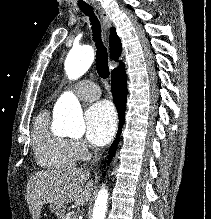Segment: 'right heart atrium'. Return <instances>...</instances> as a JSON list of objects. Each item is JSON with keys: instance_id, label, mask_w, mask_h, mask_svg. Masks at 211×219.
Segmentation results:
<instances>
[{"instance_id": "obj_1", "label": "right heart atrium", "mask_w": 211, "mask_h": 219, "mask_svg": "<svg viewBox=\"0 0 211 219\" xmlns=\"http://www.w3.org/2000/svg\"><path fill=\"white\" fill-rule=\"evenodd\" d=\"M71 149L77 159L85 160L89 155L90 151L87 144L81 139H71L69 140Z\"/></svg>"}]
</instances>
